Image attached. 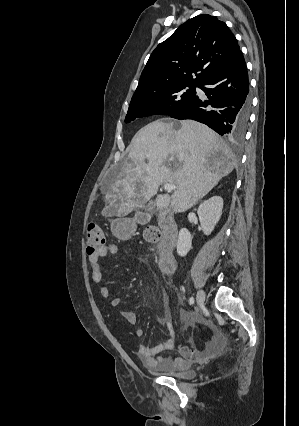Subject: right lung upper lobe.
Masks as SVG:
<instances>
[{
	"instance_id": "cb5924a9",
	"label": "right lung upper lobe",
	"mask_w": 299,
	"mask_h": 426,
	"mask_svg": "<svg viewBox=\"0 0 299 426\" xmlns=\"http://www.w3.org/2000/svg\"><path fill=\"white\" fill-rule=\"evenodd\" d=\"M240 53L235 36L224 22L209 14L198 15L152 52L131 101L178 84L199 85Z\"/></svg>"
}]
</instances>
